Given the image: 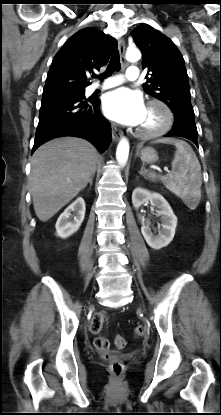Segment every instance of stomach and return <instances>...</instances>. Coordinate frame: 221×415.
<instances>
[{
  "mask_svg": "<svg viewBox=\"0 0 221 415\" xmlns=\"http://www.w3.org/2000/svg\"><path fill=\"white\" fill-rule=\"evenodd\" d=\"M137 154L145 163H155L158 160V154L152 147L140 148L138 149Z\"/></svg>",
  "mask_w": 221,
  "mask_h": 415,
  "instance_id": "0dacf381",
  "label": "stomach"
}]
</instances>
